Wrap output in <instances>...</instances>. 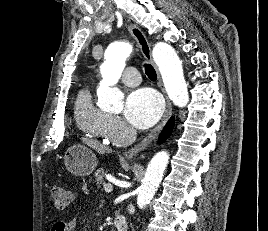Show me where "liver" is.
<instances>
[{
  "mask_svg": "<svg viewBox=\"0 0 268 231\" xmlns=\"http://www.w3.org/2000/svg\"><path fill=\"white\" fill-rule=\"evenodd\" d=\"M83 142L93 148L94 150L98 151L101 154H104L105 152L108 151V148L101 145L99 142L91 140V139H83Z\"/></svg>",
  "mask_w": 268,
  "mask_h": 231,
  "instance_id": "6515ba94",
  "label": "liver"
}]
</instances>
